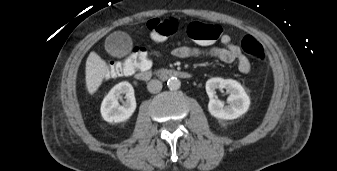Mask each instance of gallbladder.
I'll list each match as a JSON object with an SVG mask.
<instances>
[{
    "instance_id": "obj_1",
    "label": "gallbladder",
    "mask_w": 337,
    "mask_h": 171,
    "mask_svg": "<svg viewBox=\"0 0 337 171\" xmlns=\"http://www.w3.org/2000/svg\"><path fill=\"white\" fill-rule=\"evenodd\" d=\"M130 37L123 32H116L107 37L105 41L106 50L114 56H124L131 48Z\"/></svg>"
}]
</instances>
